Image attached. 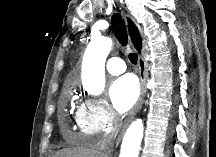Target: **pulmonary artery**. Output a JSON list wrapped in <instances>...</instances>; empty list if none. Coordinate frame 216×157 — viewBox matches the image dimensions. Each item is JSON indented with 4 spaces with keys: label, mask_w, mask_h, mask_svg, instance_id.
Wrapping results in <instances>:
<instances>
[{
    "label": "pulmonary artery",
    "mask_w": 216,
    "mask_h": 157,
    "mask_svg": "<svg viewBox=\"0 0 216 157\" xmlns=\"http://www.w3.org/2000/svg\"><path fill=\"white\" fill-rule=\"evenodd\" d=\"M106 70L112 75H118L126 70L124 61L120 57H111L106 62Z\"/></svg>",
    "instance_id": "obj_1"
}]
</instances>
